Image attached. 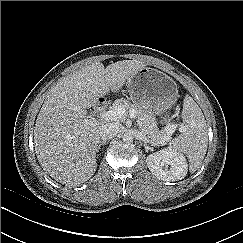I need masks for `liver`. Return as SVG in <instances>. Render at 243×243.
Returning <instances> with one entry per match:
<instances>
[{
    "mask_svg": "<svg viewBox=\"0 0 243 243\" xmlns=\"http://www.w3.org/2000/svg\"><path fill=\"white\" fill-rule=\"evenodd\" d=\"M146 65L123 60L105 68L95 62L49 90L36 119L34 147L39 164L52 178L76 187L94 175L100 127L105 121L88 118L87 109L99 97L119 91Z\"/></svg>",
    "mask_w": 243,
    "mask_h": 243,
    "instance_id": "1",
    "label": "liver"
}]
</instances>
